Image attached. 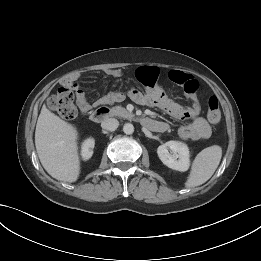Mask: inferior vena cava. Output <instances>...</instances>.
Returning <instances> with one entry per match:
<instances>
[{"label":"inferior vena cava","instance_id":"602c4592","mask_svg":"<svg viewBox=\"0 0 261 261\" xmlns=\"http://www.w3.org/2000/svg\"><path fill=\"white\" fill-rule=\"evenodd\" d=\"M119 126V121L115 118H107L101 123V127L108 131H115Z\"/></svg>","mask_w":261,"mask_h":261}]
</instances>
